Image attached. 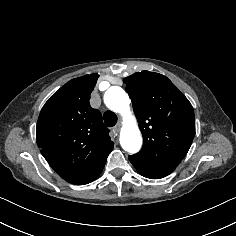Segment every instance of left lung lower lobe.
<instances>
[{"label":"left lung lower lobe","mask_w":236,"mask_h":236,"mask_svg":"<svg viewBox=\"0 0 236 236\" xmlns=\"http://www.w3.org/2000/svg\"><path fill=\"white\" fill-rule=\"evenodd\" d=\"M129 160L142 176L150 179L163 178L175 170L174 167L152 166L141 161H135L131 158V156H129Z\"/></svg>","instance_id":"0a47b994"}]
</instances>
